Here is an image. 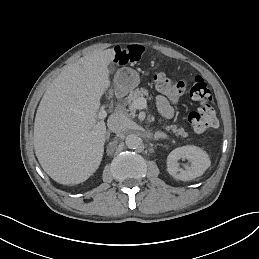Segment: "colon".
<instances>
[{
  "mask_svg": "<svg viewBox=\"0 0 259 259\" xmlns=\"http://www.w3.org/2000/svg\"><path fill=\"white\" fill-rule=\"evenodd\" d=\"M154 80L157 89L172 101H177L185 92H188L197 103V109L188 115V121L194 132L200 134L218 125L212 94L203 77L196 76L186 84L171 78L164 72H158Z\"/></svg>",
  "mask_w": 259,
  "mask_h": 259,
  "instance_id": "obj_1",
  "label": "colon"
}]
</instances>
